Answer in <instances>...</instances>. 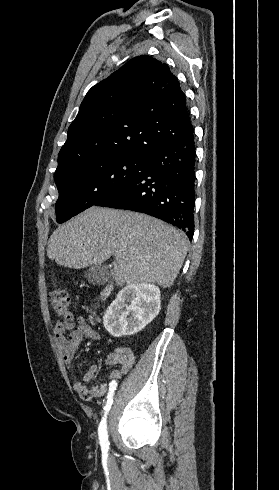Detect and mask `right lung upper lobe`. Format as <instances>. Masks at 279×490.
Returning a JSON list of instances; mask_svg holds the SVG:
<instances>
[{"mask_svg":"<svg viewBox=\"0 0 279 490\" xmlns=\"http://www.w3.org/2000/svg\"><path fill=\"white\" fill-rule=\"evenodd\" d=\"M193 132L176 76L166 64L138 56L88 91L54 176L101 157L149 159Z\"/></svg>","mask_w":279,"mask_h":490,"instance_id":"1","label":"right lung upper lobe"}]
</instances>
